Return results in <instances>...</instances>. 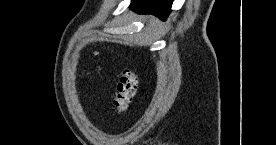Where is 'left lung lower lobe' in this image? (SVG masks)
<instances>
[{
  "label": "left lung lower lobe",
  "mask_w": 276,
  "mask_h": 145,
  "mask_svg": "<svg viewBox=\"0 0 276 145\" xmlns=\"http://www.w3.org/2000/svg\"><path fill=\"white\" fill-rule=\"evenodd\" d=\"M173 0H131L130 9L138 13L153 14L166 20L171 12Z\"/></svg>",
  "instance_id": "obj_1"
}]
</instances>
